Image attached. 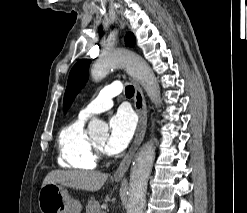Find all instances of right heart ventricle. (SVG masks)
I'll return each instance as SVG.
<instances>
[{"mask_svg":"<svg viewBox=\"0 0 247 213\" xmlns=\"http://www.w3.org/2000/svg\"><path fill=\"white\" fill-rule=\"evenodd\" d=\"M58 164L67 169L93 170L97 159L85 129V119L77 118L59 132Z\"/></svg>","mask_w":247,"mask_h":213,"instance_id":"right-heart-ventricle-1","label":"right heart ventricle"}]
</instances>
